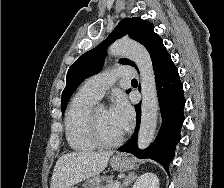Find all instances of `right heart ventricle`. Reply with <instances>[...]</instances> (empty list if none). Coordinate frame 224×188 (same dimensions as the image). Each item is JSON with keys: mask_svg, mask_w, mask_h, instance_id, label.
<instances>
[{"mask_svg": "<svg viewBox=\"0 0 224 188\" xmlns=\"http://www.w3.org/2000/svg\"><path fill=\"white\" fill-rule=\"evenodd\" d=\"M97 99L82 89L73 97L65 114V134L69 146L79 152L89 151L96 144L89 136L87 118Z\"/></svg>", "mask_w": 224, "mask_h": 188, "instance_id": "1", "label": "right heart ventricle"}]
</instances>
